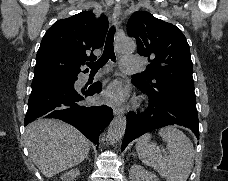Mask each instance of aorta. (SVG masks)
<instances>
[{"label": "aorta", "instance_id": "aorta-1", "mask_svg": "<svg viewBox=\"0 0 228 181\" xmlns=\"http://www.w3.org/2000/svg\"><path fill=\"white\" fill-rule=\"evenodd\" d=\"M116 49L121 53H131L135 50V43L130 38H122L118 40ZM126 122L125 116H119L110 123L107 137L111 143L121 140L125 133Z\"/></svg>", "mask_w": 228, "mask_h": 181}]
</instances>
